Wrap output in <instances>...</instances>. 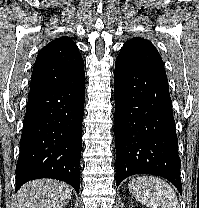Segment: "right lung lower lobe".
<instances>
[{
  "label": "right lung lower lobe",
  "instance_id": "right-lung-lower-lobe-1",
  "mask_svg": "<svg viewBox=\"0 0 199 208\" xmlns=\"http://www.w3.org/2000/svg\"><path fill=\"white\" fill-rule=\"evenodd\" d=\"M84 101L85 75L71 83L30 91L15 192L29 180L53 178L79 193Z\"/></svg>",
  "mask_w": 199,
  "mask_h": 208
}]
</instances>
